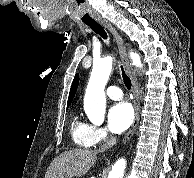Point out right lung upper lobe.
<instances>
[{"label":"right lung upper lobe","instance_id":"1","mask_svg":"<svg viewBox=\"0 0 194 178\" xmlns=\"http://www.w3.org/2000/svg\"><path fill=\"white\" fill-rule=\"evenodd\" d=\"M78 83H79V75L76 74L75 77H74V80L72 82V85H71L67 107L71 104V102L74 98V95H75L77 87H78Z\"/></svg>","mask_w":194,"mask_h":178}]
</instances>
